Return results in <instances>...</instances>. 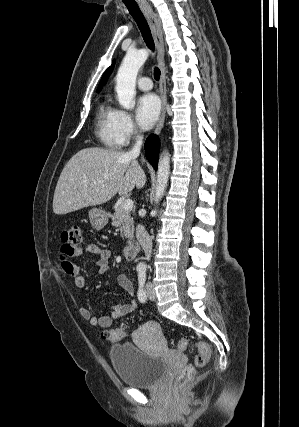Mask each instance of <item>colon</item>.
<instances>
[{
    "label": "colon",
    "mask_w": 299,
    "mask_h": 427,
    "mask_svg": "<svg viewBox=\"0 0 299 427\" xmlns=\"http://www.w3.org/2000/svg\"><path fill=\"white\" fill-rule=\"evenodd\" d=\"M62 240L70 245H79L81 242L80 226H72L64 230L62 233ZM101 335L112 341L120 342L127 336V333L123 328H113L103 331ZM189 348H195L198 351V354L195 357L194 366L186 365L182 367L180 372L177 374L174 387L178 392H184L186 390L195 375V368L205 367L211 357V349L209 345L204 342L191 344L188 339L184 338L177 344V349L179 351H185Z\"/></svg>",
    "instance_id": "5ec220e1"
}]
</instances>
